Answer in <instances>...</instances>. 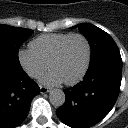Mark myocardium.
I'll list each match as a JSON object with an SVG mask.
<instances>
[{
  "instance_id": "myocardium-1",
  "label": "myocardium",
  "mask_w": 128,
  "mask_h": 128,
  "mask_svg": "<svg viewBox=\"0 0 128 128\" xmlns=\"http://www.w3.org/2000/svg\"><path fill=\"white\" fill-rule=\"evenodd\" d=\"M73 38H81L85 44H86V49H87V54H86V60H85V64L84 67L82 69V71L72 80L69 81H63V83L67 86H72L75 85L77 83H79L84 76L86 75L89 67H90V63H91V58H92V47H91V43L89 41V39L81 34V33H73L70 34L67 38H65L59 45V47L57 48L55 54L52 56V58L50 59L49 63H48V68L51 69L52 65L60 59V57L63 54L64 48L67 45V43L73 39Z\"/></svg>"
}]
</instances>
